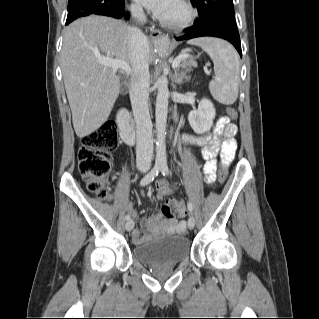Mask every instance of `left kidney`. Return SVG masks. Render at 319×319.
<instances>
[{
  "label": "left kidney",
  "mask_w": 319,
  "mask_h": 319,
  "mask_svg": "<svg viewBox=\"0 0 319 319\" xmlns=\"http://www.w3.org/2000/svg\"><path fill=\"white\" fill-rule=\"evenodd\" d=\"M215 115L216 111L212 102L202 99L198 109L189 112L188 121L197 134H203L211 129Z\"/></svg>",
  "instance_id": "obj_1"
}]
</instances>
